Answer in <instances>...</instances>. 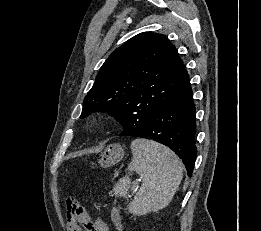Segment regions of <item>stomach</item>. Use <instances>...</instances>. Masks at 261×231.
Here are the masks:
<instances>
[{"instance_id": "obj_1", "label": "stomach", "mask_w": 261, "mask_h": 231, "mask_svg": "<svg viewBox=\"0 0 261 231\" xmlns=\"http://www.w3.org/2000/svg\"><path fill=\"white\" fill-rule=\"evenodd\" d=\"M124 155V148L120 144H111L104 150L99 159V164L104 168L110 167L120 162Z\"/></svg>"}]
</instances>
